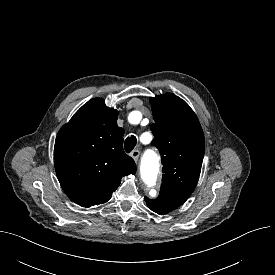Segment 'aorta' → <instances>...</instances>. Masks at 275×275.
<instances>
[{
  "instance_id": "obj_1",
  "label": "aorta",
  "mask_w": 275,
  "mask_h": 275,
  "mask_svg": "<svg viewBox=\"0 0 275 275\" xmlns=\"http://www.w3.org/2000/svg\"><path fill=\"white\" fill-rule=\"evenodd\" d=\"M158 168L159 166L157 158L153 155L148 156L143 166V179L145 183L151 188L150 192L152 195H155V190L152 189V186L156 180Z\"/></svg>"
}]
</instances>
